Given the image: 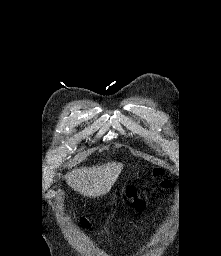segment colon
Masks as SVG:
<instances>
[{
	"mask_svg": "<svg viewBox=\"0 0 221 256\" xmlns=\"http://www.w3.org/2000/svg\"><path fill=\"white\" fill-rule=\"evenodd\" d=\"M162 175V170L161 169H154L153 171V177L154 178H160ZM168 183L163 181L161 182L162 187H168ZM126 199L130 200L132 202V206L136 211H141L145 207V201L138 196V190L135 186H130L126 190L125 194ZM82 225L87 227L88 222L87 220L83 219L82 220Z\"/></svg>",
	"mask_w": 221,
	"mask_h": 256,
	"instance_id": "5ec220e1",
	"label": "colon"
}]
</instances>
